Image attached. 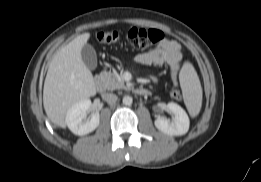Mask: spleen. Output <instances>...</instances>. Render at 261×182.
Masks as SVG:
<instances>
[{
  "label": "spleen",
  "mask_w": 261,
  "mask_h": 182,
  "mask_svg": "<svg viewBox=\"0 0 261 182\" xmlns=\"http://www.w3.org/2000/svg\"><path fill=\"white\" fill-rule=\"evenodd\" d=\"M183 98L189 114L195 117L202 106V87L199 77L189 62H185L179 73Z\"/></svg>",
  "instance_id": "spleen-1"
}]
</instances>
